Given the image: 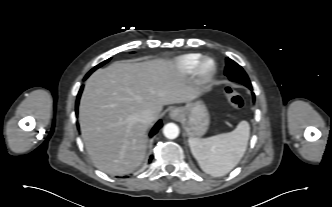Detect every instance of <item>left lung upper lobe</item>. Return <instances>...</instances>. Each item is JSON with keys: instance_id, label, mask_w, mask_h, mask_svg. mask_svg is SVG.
<instances>
[{"instance_id": "1", "label": "left lung upper lobe", "mask_w": 332, "mask_h": 207, "mask_svg": "<svg viewBox=\"0 0 332 207\" xmlns=\"http://www.w3.org/2000/svg\"><path fill=\"white\" fill-rule=\"evenodd\" d=\"M225 75L231 81L241 83L246 87L251 86L249 77L247 76L243 68L229 58H226Z\"/></svg>"}]
</instances>
